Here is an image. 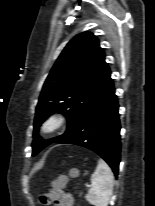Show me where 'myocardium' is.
<instances>
[{"label":"myocardium","instance_id":"f54148a6","mask_svg":"<svg viewBox=\"0 0 155 206\" xmlns=\"http://www.w3.org/2000/svg\"><path fill=\"white\" fill-rule=\"evenodd\" d=\"M67 121V116L64 113L54 112L44 120L42 130L46 134L56 133L67 124Z\"/></svg>","mask_w":155,"mask_h":206}]
</instances>
